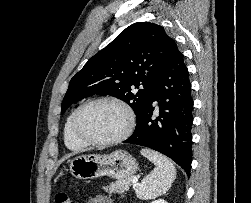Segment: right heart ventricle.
<instances>
[{"label": "right heart ventricle", "mask_w": 251, "mask_h": 203, "mask_svg": "<svg viewBox=\"0 0 251 203\" xmlns=\"http://www.w3.org/2000/svg\"><path fill=\"white\" fill-rule=\"evenodd\" d=\"M74 112L75 110H73L66 118L63 128V136L65 145L67 146L68 149L72 151H79L84 149L87 145L79 141L73 134L71 125Z\"/></svg>", "instance_id": "right-heart-ventricle-1"}]
</instances>
